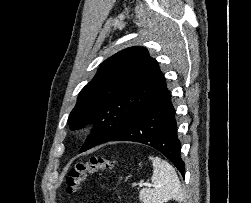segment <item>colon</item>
I'll use <instances>...</instances> for the list:
<instances>
[{"instance_id":"5ec220e1","label":"colon","mask_w":251,"mask_h":203,"mask_svg":"<svg viewBox=\"0 0 251 203\" xmlns=\"http://www.w3.org/2000/svg\"><path fill=\"white\" fill-rule=\"evenodd\" d=\"M116 164L103 157H92L86 161L76 162L68 171L66 177V193L73 194L80 189L82 181L98 171H113Z\"/></svg>"}]
</instances>
